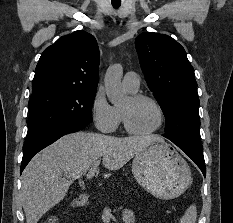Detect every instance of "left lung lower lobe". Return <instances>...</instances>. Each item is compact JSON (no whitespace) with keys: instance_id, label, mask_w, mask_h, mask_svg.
Listing matches in <instances>:
<instances>
[{"instance_id":"0a47b994","label":"left lung lower lobe","mask_w":233,"mask_h":223,"mask_svg":"<svg viewBox=\"0 0 233 223\" xmlns=\"http://www.w3.org/2000/svg\"><path fill=\"white\" fill-rule=\"evenodd\" d=\"M170 140V139H169ZM180 149H182L200 168L204 177L206 176V166L204 162L203 149L201 144L178 142L171 140Z\"/></svg>"}]
</instances>
